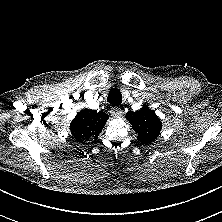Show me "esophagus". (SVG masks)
Returning a JSON list of instances; mask_svg holds the SVG:
<instances>
[{
	"label": "esophagus",
	"instance_id": "esophagus-1",
	"mask_svg": "<svg viewBox=\"0 0 222 222\" xmlns=\"http://www.w3.org/2000/svg\"><path fill=\"white\" fill-rule=\"evenodd\" d=\"M122 113H123V111H122L120 108H113V109L111 110L112 116L119 117V116L122 115Z\"/></svg>",
	"mask_w": 222,
	"mask_h": 222
}]
</instances>
